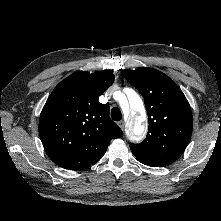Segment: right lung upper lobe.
I'll list each match as a JSON object with an SVG mask.
<instances>
[{
  "label": "right lung upper lobe",
  "instance_id": "obj_1",
  "mask_svg": "<svg viewBox=\"0 0 221 221\" xmlns=\"http://www.w3.org/2000/svg\"><path fill=\"white\" fill-rule=\"evenodd\" d=\"M114 82L110 70L76 72L61 81L46 101L39 135L49 158L70 170L85 169L102 158L121 129L99 96Z\"/></svg>",
  "mask_w": 221,
  "mask_h": 221
}]
</instances>
